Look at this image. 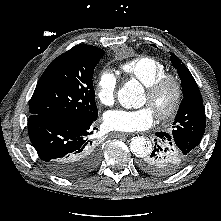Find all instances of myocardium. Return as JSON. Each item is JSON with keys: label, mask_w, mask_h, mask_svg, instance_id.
I'll use <instances>...</instances> for the list:
<instances>
[{"label": "myocardium", "mask_w": 221, "mask_h": 221, "mask_svg": "<svg viewBox=\"0 0 221 221\" xmlns=\"http://www.w3.org/2000/svg\"><path fill=\"white\" fill-rule=\"evenodd\" d=\"M167 88L172 89L173 96L168 107L155 113L159 120H168L178 112L183 99L182 82L178 76L167 73L150 85L146 86V93L152 100L157 99Z\"/></svg>", "instance_id": "myocardium-1"}]
</instances>
